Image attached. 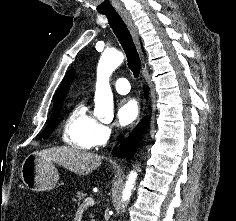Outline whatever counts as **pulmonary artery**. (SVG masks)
I'll return each instance as SVG.
<instances>
[{"label":"pulmonary artery","mask_w":236,"mask_h":221,"mask_svg":"<svg viewBox=\"0 0 236 221\" xmlns=\"http://www.w3.org/2000/svg\"><path fill=\"white\" fill-rule=\"evenodd\" d=\"M114 87L120 94H126L130 91V84L126 78H118L114 81Z\"/></svg>","instance_id":"obj_1"}]
</instances>
